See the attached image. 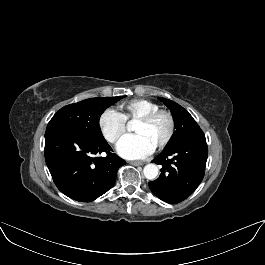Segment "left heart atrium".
I'll list each match as a JSON object with an SVG mask.
<instances>
[{
  "label": "left heart atrium",
  "instance_id": "left-heart-atrium-1",
  "mask_svg": "<svg viewBox=\"0 0 265 265\" xmlns=\"http://www.w3.org/2000/svg\"><path fill=\"white\" fill-rule=\"evenodd\" d=\"M152 145L140 134L124 137L117 146L118 154L126 159H141L153 151Z\"/></svg>",
  "mask_w": 265,
  "mask_h": 265
}]
</instances>
